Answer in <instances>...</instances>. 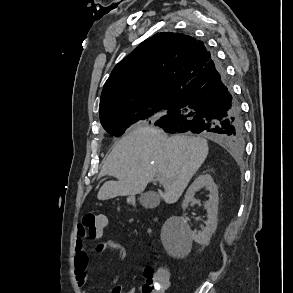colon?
<instances>
[{"instance_id": "obj_1", "label": "colon", "mask_w": 293, "mask_h": 293, "mask_svg": "<svg viewBox=\"0 0 293 293\" xmlns=\"http://www.w3.org/2000/svg\"><path fill=\"white\" fill-rule=\"evenodd\" d=\"M107 224V216L104 214H84L80 227L85 237L99 239ZM144 285L142 293H165L169 286V272L165 267L146 268L143 272Z\"/></svg>"}]
</instances>
